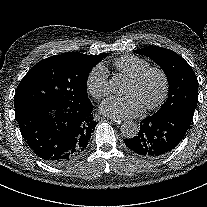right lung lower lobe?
Listing matches in <instances>:
<instances>
[{
	"label": "right lung lower lobe",
	"instance_id": "obj_1",
	"mask_svg": "<svg viewBox=\"0 0 207 207\" xmlns=\"http://www.w3.org/2000/svg\"><path fill=\"white\" fill-rule=\"evenodd\" d=\"M56 110L55 115L50 112ZM91 102L78 107L45 106L16 115L21 134L33 152L51 165L77 159L97 122Z\"/></svg>",
	"mask_w": 207,
	"mask_h": 207
}]
</instances>
